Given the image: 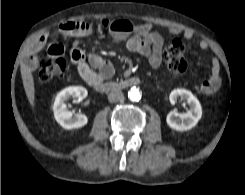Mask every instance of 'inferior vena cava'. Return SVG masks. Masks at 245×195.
<instances>
[{"mask_svg": "<svg viewBox=\"0 0 245 195\" xmlns=\"http://www.w3.org/2000/svg\"><path fill=\"white\" fill-rule=\"evenodd\" d=\"M109 102H118L124 100V95L120 90H113L108 95Z\"/></svg>", "mask_w": 245, "mask_h": 195, "instance_id": "obj_1", "label": "inferior vena cava"}]
</instances>
